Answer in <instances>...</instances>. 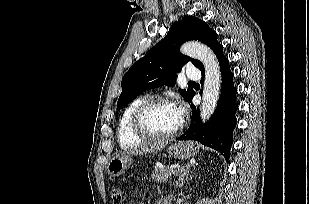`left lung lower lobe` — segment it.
<instances>
[{"label": "left lung lower lobe", "mask_w": 309, "mask_h": 204, "mask_svg": "<svg viewBox=\"0 0 309 204\" xmlns=\"http://www.w3.org/2000/svg\"><path fill=\"white\" fill-rule=\"evenodd\" d=\"M216 56L222 75L221 97L217 104V109L211 119L203 124L200 121L199 108L196 109L191 104L193 114L192 123L188 130L178 137L177 140L199 141L205 146L218 150L228 161L230 147L233 141L232 133L236 126L235 113L238 105L235 96L237 89L234 87L233 73L228 66V58L223 53V47L220 48ZM194 95L195 93L192 98Z\"/></svg>", "instance_id": "0a47b994"}]
</instances>
